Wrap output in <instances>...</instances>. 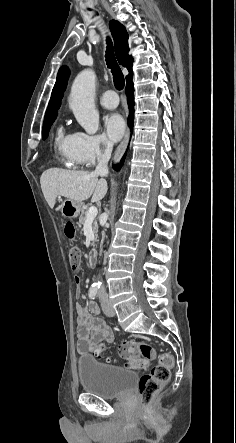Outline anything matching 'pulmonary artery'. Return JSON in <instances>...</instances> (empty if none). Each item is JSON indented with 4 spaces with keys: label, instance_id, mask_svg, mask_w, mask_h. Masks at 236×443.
<instances>
[{
    "label": "pulmonary artery",
    "instance_id": "e3ab8cb5",
    "mask_svg": "<svg viewBox=\"0 0 236 443\" xmlns=\"http://www.w3.org/2000/svg\"><path fill=\"white\" fill-rule=\"evenodd\" d=\"M115 96L116 93L114 91L108 90L101 95L99 102L103 107L113 109L117 107L119 103L118 99H116Z\"/></svg>",
    "mask_w": 236,
    "mask_h": 443
}]
</instances>
